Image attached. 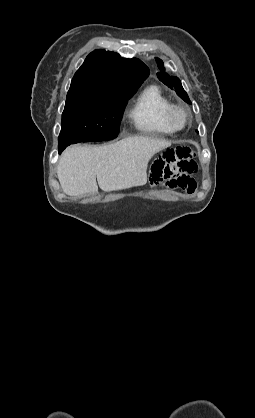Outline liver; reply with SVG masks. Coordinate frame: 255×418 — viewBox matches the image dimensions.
Returning a JSON list of instances; mask_svg holds the SVG:
<instances>
[{"instance_id":"obj_1","label":"liver","mask_w":255,"mask_h":418,"mask_svg":"<svg viewBox=\"0 0 255 418\" xmlns=\"http://www.w3.org/2000/svg\"><path fill=\"white\" fill-rule=\"evenodd\" d=\"M171 146L163 139L136 136L104 146H71L58 163L57 176L69 196L143 186L147 167L157 152ZM97 178V182H96Z\"/></svg>"}]
</instances>
